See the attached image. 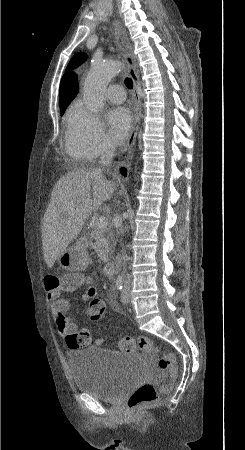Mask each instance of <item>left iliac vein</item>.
<instances>
[{
  "label": "left iliac vein",
  "instance_id": "obj_1",
  "mask_svg": "<svg viewBox=\"0 0 245 450\" xmlns=\"http://www.w3.org/2000/svg\"><path fill=\"white\" fill-rule=\"evenodd\" d=\"M130 300V286L126 285L121 293V301L127 304Z\"/></svg>",
  "mask_w": 245,
  "mask_h": 450
}]
</instances>
